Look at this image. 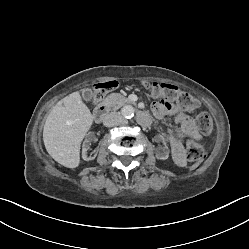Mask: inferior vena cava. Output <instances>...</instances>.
<instances>
[{
    "instance_id": "602c4592",
    "label": "inferior vena cava",
    "mask_w": 249,
    "mask_h": 249,
    "mask_svg": "<svg viewBox=\"0 0 249 249\" xmlns=\"http://www.w3.org/2000/svg\"><path fill=\"white\" fill-rule=\"evenodd\" d=\"M124 121L125 120L122 115H120V113L113 112L105 116L103 120V125L105 127H113L123 124Z\"/></svg>"
}]
</instances>
